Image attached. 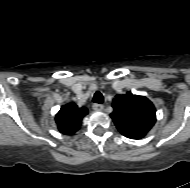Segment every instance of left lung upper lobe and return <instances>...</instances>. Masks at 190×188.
<instances>
[{"label": "left lung upper lobe", "instance_id": "1", "mask_svg": "<svg viewBox=\"0 0 190 188\" xmlns=\"http://www.w3.org/2000/svg\"><path fill=\"white\" fill-rule=\"evenodd\" d=\"M114 111L110 114L120 133L131 132L145 136L156 122L152 102L144 96L127 92L113 100Z\"/></svg>", "mask_w": 190, "mask_h": 188}]
</instances>
